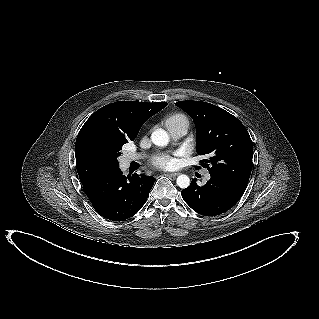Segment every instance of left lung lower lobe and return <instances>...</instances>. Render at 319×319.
<instances>
[{
	"mask_svg": "<svg viewBox=\"0 0 319 319\" xmlns=\"http://www.w3.org/2000/svg\"><path fill=\"white\" fill-rule=\"evenodd\" d=\"M230 178L211 174L210 180L202 187L196 179L182 190L184 201L197 213L204 216H215L227 212L240 200L246 190Z\"/></svg>",
	"mask_w": 319,
	"mask_h": 319,
	"instance_id": "left-lung-lower-lobe-1",
	"label": "left lung lower lobe"
}]
</instances>
